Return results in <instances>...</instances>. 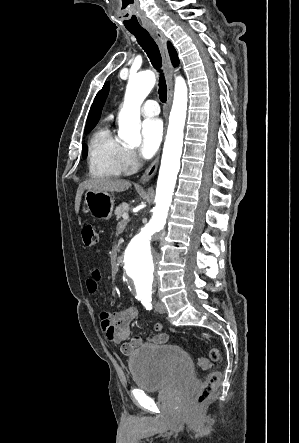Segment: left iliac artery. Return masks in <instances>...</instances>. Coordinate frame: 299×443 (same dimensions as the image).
<instances>
[{
	"instance_id": "obj_1",
	"label": "left iliac artery",
	"mask_w": 299,
	"mask_h": 443,
	"mask_svg": "<svg viewBox=\"0 0 299 443\" xmlns=\"http://www.w3.org/2000/svg\"><path fill=\"white\" fill-rule=\"evenodd\" d=\"M142 304H143V306H144L147 310H151V309H152L151 299H145V300H142Z\"/></svg>"
}]
</instances>
